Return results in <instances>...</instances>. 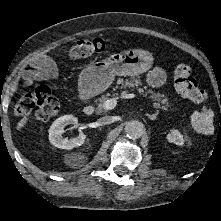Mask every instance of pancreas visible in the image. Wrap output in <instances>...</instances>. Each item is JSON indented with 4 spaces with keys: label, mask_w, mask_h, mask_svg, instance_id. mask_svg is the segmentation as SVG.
Listing matches in <instances>:
<instances>
[{
    "label": "pancreas",
    "mask_w": 221,
    "mask_h": 221,
    "mask_svg": "<svg viewBox=\"0 0 221 221\" xmlns=\"http://www.w3.org/2000/svg\"><path fill=\"white\" fill-rule=\"evenodd\" d=\"M116 89L119 87L120 85V88L121 89H130V90H133L134 88L138 89L139 93L143 94L144 93V96H147V95H150V98L155 101V105L156 106H159L160 104L163 105V107H165V105H167L168 103V99L164 96V95H161L159 93H155L154 91L152 90H148L146 92H144L143 89L141 88H138L139 85H141V81H140V78L139 77H132L130 80H122V79H119L117 80L116 82ZM146 88V87H145ZM127 91H123L121 94L124 95L126 94ZM109 96L110 94H107V95H102L99 99H98V104H97V107L95 109V112L97 115H101L103 114L104 112H106L105 108H104V104L105 102L109 99ZM163 98V99H162Z\"/></svg>",
    "instance_id": "1"
}]
</instances>
